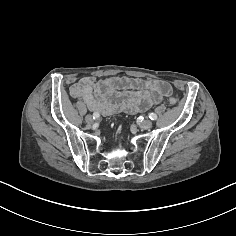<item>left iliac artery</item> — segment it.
I'll return each mask as SVG.
<instances>
[{
    "mask_svg": "<svg viewBox=\"0 0 236 236\" xmlns=\"http://www.w3.org/2000/svg\"><path fill=\"white\" fill-rule=\"evenodd\" d=\"M149 118L151 119V120H156L157 119V115L155 114V113H149Z\"/></svg>",
    "mask_w": 236,
    "mask_h": 236,
    "instance_id": "left-iliac-artery-1",
    "label": "left iliac artery"
}]
</instances>
